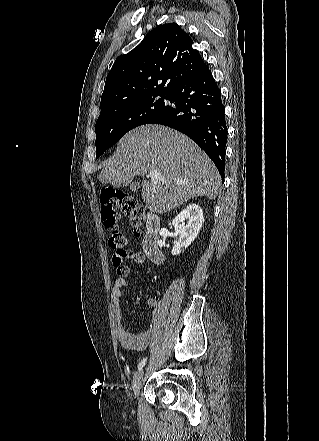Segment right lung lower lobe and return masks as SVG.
I'll list each match as a JSON object with an SVG mask.
<instances>
[{"label":"right lung lower lobe","instance_id":"right-lung-lower-lobe-1","mask_svg":"<svg viewBox=\"0 0 319 441\" xmlns=\"http://www.w3.org/2000/svg\"><path fill=\"white\" fill-rule=\"evenodd\" d=\"M174 105L149 123L174 128L193 139L215 163L222 179L225 170L227 126L221 93L205 64L181 81L168 96Z\"/></svg>","mask_w":319,"mask_h":441}]
</instances>
